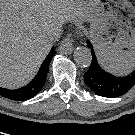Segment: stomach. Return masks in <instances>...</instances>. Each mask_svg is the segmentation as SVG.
<instances>
[{
  "label": "stomach",
  "mask_w": 135,
  "mask_h": 135,
  "mask_svg": "<svg viewBox=\"0 0 135 135\" xmlns=\"http://www.w3.org/2000/svg\"><path fill=\"white\" fill-rule=\"evenodd\" d=\"M83 3L99 59H108L121 52L135 54V7L128 0H87Z\"/></svg>",
  "instance_id": "1"
}]
</instances>
